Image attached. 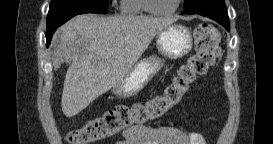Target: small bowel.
<instances>
[{"instance_id":"1","label":"small bowel","mask_w":273,"mask_h":144,"mask_svg":"<svg viewBox=\"0 0 273 144\" xmlns=\"http://www.w3.org/2000/svg\"><path fill=\"white\" fill-rule=\"evenodd\" d=\"M116 144H205V140L197 132L177 127L136 126L122 132Z\"/></svg>"}]
</instances>
